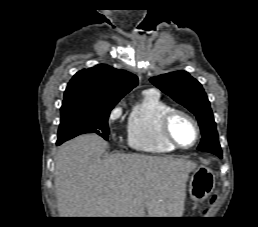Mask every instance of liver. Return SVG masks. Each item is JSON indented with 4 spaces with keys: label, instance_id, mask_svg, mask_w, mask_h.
Segmentation results:
<instances>
[{
    "label": "liver",
    "instance_id": "obj_1",
    "mask_svg": "<svg viewBox=\"0 0 258 227\" xmlns=\"http://www.w3.org/2000/svg\"><path fill=\"white\" fill-rule=\"evenodd\" d=\"M94 134L60 146L54 186L60 217H181L195 162L117 153ZM147 215V216H145Z\"/></svg>",
    "mask_w": 258,
    "mask_h": 227
}]
</instances>
